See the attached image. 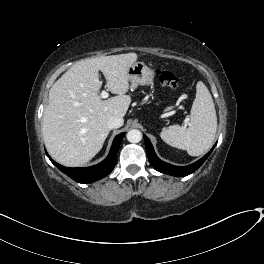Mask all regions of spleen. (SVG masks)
<instances>
[{
  "label": "spleen",
  "instance_id": "1",
  "mask_svg": "<svg viewBox=\"0 0 264 264\" xmlns=\"http://www.w3.org/2000/svg\"><path fill=\"white\" fill-rule=\"evenodd\" d=\"M217 117L212 96L202 81L197 82L188 128L169 126L160 133L161 139L172 147L186 150L191 156L207 151L215 138Z\"/></svg>",
  "mask_w": 264,
  "mask_h": 264
}]
</instances>
